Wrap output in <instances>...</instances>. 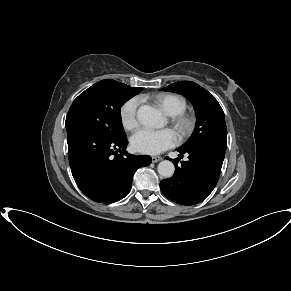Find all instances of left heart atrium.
I'll list each match as a JSON object with an SVG mask.
<instances>
[{"instance_id":"39dd6f15","label":"left heart atrium","mask_w":291,"mask_h":291,"mask_svg":"<svg viewBox=\"0 0 291 291\" xmlns=\"http://www.w3.org/2000/svg\"><path fill=\"white\" fill-rule=\"evenodd\" d=\"M178 143L176 133L171 129H140L131 137L132 148L140 153L159 154Z\"/></svg>"}]
</instances>
